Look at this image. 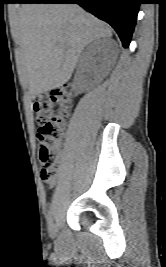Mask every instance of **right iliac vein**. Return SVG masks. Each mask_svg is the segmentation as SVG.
<instances>
[{
    "mask_svg": "<svg viewBox=\"0 0 166 267\" xmlns=\"http://www.w3.org/2000/svg\"><path fill=\"white\" fill-rule=\"evenodd\" d=\"M57 231H58L57 225L55 223H51L49 225V235H50V237L51 238H55L56 235H57Z\"/></svg>",
    "mask_w": 166,
    "mask_h": 267,
    "instance_id": "63e3f726",
    "label": "right iliac vein"
}]
</instances>
